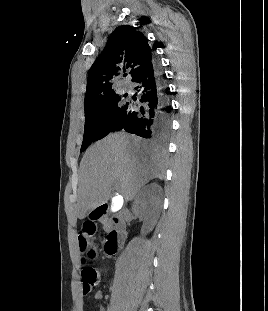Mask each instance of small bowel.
<instances>
[{
  "label": "small bowel",
  "instance_id": "1",
  "mask_svg": "<svg viewBox=\"0 0 268 311\" xmlns=\"http://www.w3.org/2000/svg\"><path fill=\"white\" fill-rule=\"evenodd\" d=\"M84 291V290H83ZM85 293V292H84ZM102 298H103V292L101 291V290H99V291H97L96 293H95V299L97 300V301H100V300H102Z\"/></svg>",
  "mask_w": 268,
  "mask_h": 311
}]
</instances>
